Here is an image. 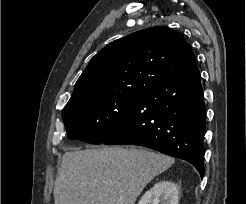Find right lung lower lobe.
Listing matches in <instances>:
<instances>
[{"label": "right lung lower lobe", "mask_w": 246, "mask_h": 204, "mask_svg": "<svg viewBox=\"0 0 246 204\" xmlns=\"http://www.w3.org/2000/svg\"><path fill=\"white\" fill-rule=\"evenodd\" d=\"M206 108L196 62L140 94L102 143L148 147L191 163L204 176Z\"/></svg>", "instance_id": "right-lung-lower-lobe-1"}]
</instances>
